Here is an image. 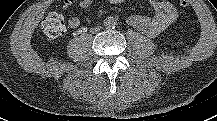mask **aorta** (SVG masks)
Here are the masks:
<instances>
[{"mask_svg": "<svg viewBox=\"0 0 217 121\" xmlns=\"http://www.w3.org/2000/svg\"><path fill=\"white\" fill-rule=\"evenodd\" d=\"M103 24L107 29L115 28V26L117 25V18L111 16L107 17L105 18Z\"/></svg>", "mask_w": 217, "mask_h": 121, "instance_id": "1", "label": "aorta"}]
</instances>
